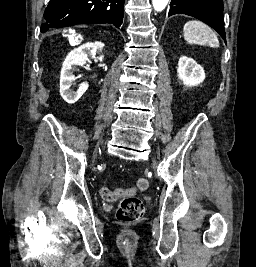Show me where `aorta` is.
Here are the masks:
<instances>
[{
  "label": "aorta",
  "instance_id": "1",
  "mask_svg": "<svg viewBox=\"0 0 256 267\" xmlns=\"http://www.w3.org/2000/svg\"><path fill=\"white\" fill-rule=\"evenodd\" d=\"M169 0H152V6L155 12H163L165 10Z\"/></svg>",
  "mask_w": 256,
  "mask_h": 267
}]
</instances>
